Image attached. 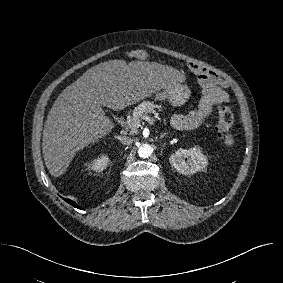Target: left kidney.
I'll return each instance as SVG.
<instances>
[{"label": "left kidney", "instance_id": "1", "mask_svg": "<svg viewBox=\"0 0 283 283\" xmlns=\"http://www.w3.org/2000/svg\"><path fill=\"white\" fill-rule=\"evenodd\" d=\"M171 165L181 174L191 175L206 168L207 157L198 146L188 150L178 149L169 158Z\"/></svg>", "mask_w": 283, "mask_h": 283}]
</instances>
